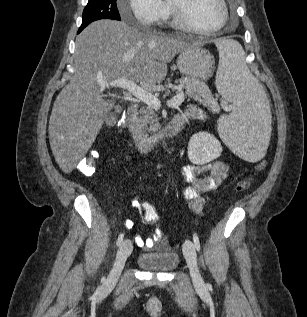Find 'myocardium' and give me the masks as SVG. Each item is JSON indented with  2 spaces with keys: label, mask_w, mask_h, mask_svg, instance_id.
I'll list each match as a JSON object with an SVG mask.
<instances>
[{
  "label": "myocardium",
  "mask_w": 307,
  "mask_h": 317,
  "mask_svg": "<svg viewBox=\"0 0 307 317\" xmlns=\"http://www.w3.org/2000/svg\"><path fill=\"white\" fill-rule=\"evenodd\" d=\"M189 2V0H167L173 23L179 29L200 36H210L219 32L226 25L229 18V9L225 0H218L222 8V18L219 24L210 30H200L190 23L186 15V5Z\"/></svg>",
  "instance_id": "1"
}]
</instances>
